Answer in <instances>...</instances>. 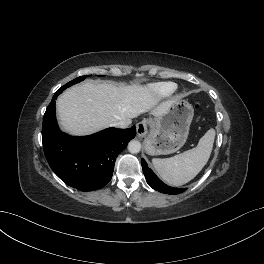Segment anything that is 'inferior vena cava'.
I'll return each instance as SVG.
<instances>
[{"label": "inferior vena cava", "instance_id": "obj_1", "mask_svg": "<svg viewBox=\"0 0 264 264\" xmlns=\"http://www.w3.org/2000/svg\"><path fill=\"white\" fill-rule=\"evenodd\" d=\"M128 125L129 124L126 121H119L113 124L114 127H118V128H127Z\"/></svg>", "mask_w": 264, "mask_h": 264}]
</instances>
